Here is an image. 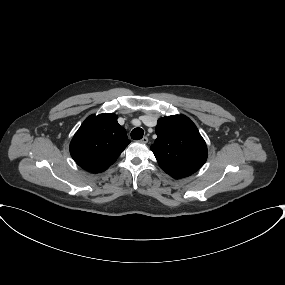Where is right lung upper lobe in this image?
<instances>
[{"label":"right lung upper lobe","mask_w":285,"mask_h":285,"mask_svg":"<svg viewBox=\"0 0 285 285\" xmlns=\"http://www.w3.org/2000/svg\"><path fill=\"white\" fill-rule=\"evenodd\" d=\"M117 115L104 113L89 116L70 143L74 161L86 171L101 173L112 165L130 143Z\"/></svg>","instance_id":"right-lung-upper-lobe-1"}]
</instances>
